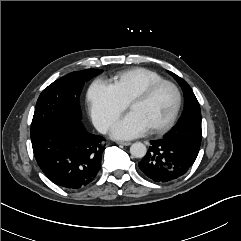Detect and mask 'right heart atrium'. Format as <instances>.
I'll use <instances>...</instances> for the list:
<instances>
[{"mask_svg":"<svg viewBox=\"0 0 241 241\" xmlns=\"http://www.w3.org/2000/svg\"><path fill=\"white\" fill-rule=\"evenodd\" d=\"M91 118L101 132H107L127 108L114 86L104 80L92 82L87 92Z\"/></svg>","mask_w":241,"mask_h":241,"instance_id":"d8ad5b80","label":"right heart atrium"}]
</instances>
